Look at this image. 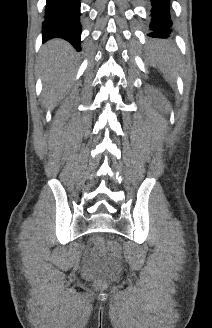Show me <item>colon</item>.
Segmentation results:
<instances>
[{
	"label": "colon",
	"mask_w": 212,
	"mask_h": 328,
	"mask_svg": "<svg viewBox=\"0 0 212 328\" xmlns=\"http://www.w3.org/2000/svg\"><path fill=\"white\" fill-rule=\"evenodd\" d=\"M96 245L102 253L108 250L115 260H118L121 257V248L115 241L106 243L102 238H97Z\"/></svg>",
	"instance_id": "1"
}]
</instances>
